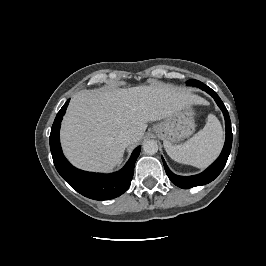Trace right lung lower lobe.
<instances>
[{
    "label": "right lung lower lobe",
    "mask_w": 266,
    "mask_h": 266,
    "mask_svg": "<svg viewBox=\"0 0 266 266\" xmlns=\"http://www.w3.org/2000/svg\"><path fill=\"white\" fill-rule=\"evenodd\" d=\"M70 99L58 112L50 133V149L54 165L58 173L78 193L94 200H109L123 194L130 186L134 173V165L139 156L140 147H137L127 164L118 172L100 174L86 172L73 167L64 157L59 140V131L63 115Z\"/></svg>",
    "instance_id": "right-lung-lower-lobe-1"
}]
</instances>
